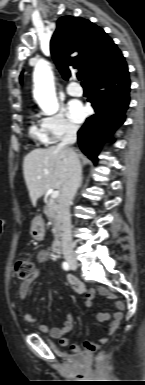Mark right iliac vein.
I'll return each instance as SVG.
<instances>
[{
  "label": "right iliac vein",
  "instance_id": "1",
  "mask_svg": "<svg viewBox=\"0 0 145 385\" xmlns=\"http://www.w3.org/2000/svg\"><path fill=\"white\" fill-rule=\"evenodd\" d=\"M67 262H68V264L70 265V267H71L72 269H77V268H78V263H77V261H76L75 258H73V257H68V258H67Z\"/></svg>",
  "mask_w": 145,
  "mask_h": 385
}]
</instances>
